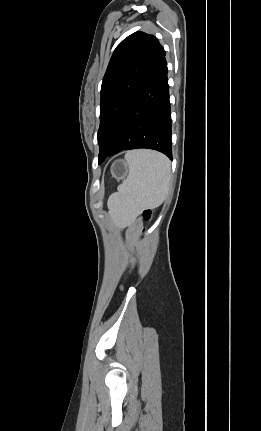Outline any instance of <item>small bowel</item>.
<instances>
[{"mask_svg": "<svg viewBox=\"0 0 261 431\" xmlns=\"http://www.w3.org/2000/svg\"><path fill=\"white\" fill-rule=\"evenodd\" d=\"M141 226V222L138 221L136 222V224L134 225L133 229H132V233L135 234L137 232V230L140 228Z\"/></svg>", "mask_w": 261, "mask_h": 431, "instance_id": "1", "label": "small bowel"}]
</instances>
